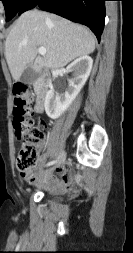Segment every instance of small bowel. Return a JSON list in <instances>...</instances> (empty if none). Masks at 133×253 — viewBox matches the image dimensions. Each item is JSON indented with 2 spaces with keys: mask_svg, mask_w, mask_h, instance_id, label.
<instances>
[{
  "mask_svg": "<svg viewBox=\"0 0 133 253\" xmlns=\"http://www.w3.org/2000/svg\"><path fill=\"white\" fill-rule=\"evenodd\" d=\"M47 157L43 156L37 166L33 169L21 172V177L25 181H34L38 176H41L39 184L42 187H46L55 191H66L71 189L75 182L76 178L72 172L66 167H60L57 169L58 176H54L51 173L41 175L42 167L46 161Z\"/></svg>",
  "mask_w": 133,
  "mask_h": 253,
  "instance_id": "c3829d8e",
  "label": "small bowel"
}]
</instances>
